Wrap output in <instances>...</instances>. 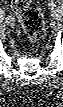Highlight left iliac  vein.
<instances>
[{"instance_id":"obj_1","label":"left iliac vein","mask_w":63,"mask_h":107,"mask_svg":"<svg viewBox=\"0 0 63 107\" xmlns=\"http://www.w3.org/2000/svg\"><path fill=\"white\" fill-rule=\"evenodd\" d=\"M62 16V11L60 9H53L52 11V17L55 19V20H59Z\"/></svg>"}]
</instances>
